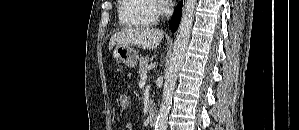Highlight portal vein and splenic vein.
<instances>
[{"label":"portal vein and splenic vein","mask_w":299,"mask_h":130,"mask_svg":"<svg viewBox=\"0 0 299 130\" xmlns=\"http://www.w3.org/2000/svg\"><path fill=\"white\" fill-rule=\"evenodd\" d=\"M147 80V74L141 75V81L145 82Z\"/></svg>","instance_id":"18ae733b"}]
</instances>
